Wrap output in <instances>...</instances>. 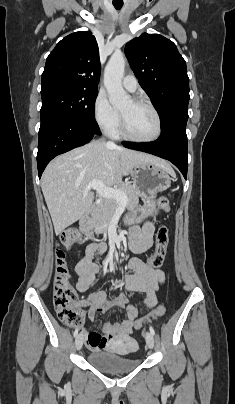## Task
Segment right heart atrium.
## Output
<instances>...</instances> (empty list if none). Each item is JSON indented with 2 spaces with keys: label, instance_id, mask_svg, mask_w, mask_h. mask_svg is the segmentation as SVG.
Returning a JSON list of instances; mask_svg holds the SVG:
<instances>
[{
  "label": "right heart atrium",
  "instance_id": "d8ad5b80",
  "mask_svg": "<svg viewBox=\"0 0 235 404\" xmlns=\"http://www.w3.org/2000/svg\"><path fill=\"white\" fill-rule=\"evenodd\" d=\"M93 113L96 123L105 133L112 135L119 128V112L112 107L105 93L97 94L93 104Z\"/></svg>",
  "mask_w": 235,
  "mask_h": 404
}]
</instances>
